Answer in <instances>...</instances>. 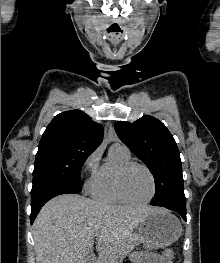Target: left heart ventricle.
<instances>
[{
  "label": "left heart ventricle",
  "instance_id": "b2bd125f",
  "mask_svg": "<svg viewBox=\"0 0 220 263\" xmlns=\"http://www.w3.org/2000/svg\"><path fill=\"white\" fill-rule=\"evenodd\" d=\"M124 188L129 198L135 201H142L150 196L152 182L144 169L134 167L125 176Z\"/></svg>",
  "mask_w": 220,
  "mask_h": 263
}]
</instances>
